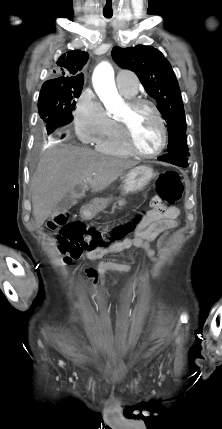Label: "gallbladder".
I'll use <instances>...</instances> for the list:
<instances>
[{
	"instance_id": "gallbladder-1",
	"label": "gallbladder",
	"mask_w": 222,
	"mask_h": 429,
	"mask_svg": "<svg viewBox=\"0 0 222 429\" xmlns=\"http://www.w3.org/2000/svg\"><path fill=\"white\" fill-rule=\"evenodd\" d=\"M77 203L76 199L72 198L70 194H66L61 201L54 207V213H62L68 211Z\"/></svg>"
}]
</instances>
